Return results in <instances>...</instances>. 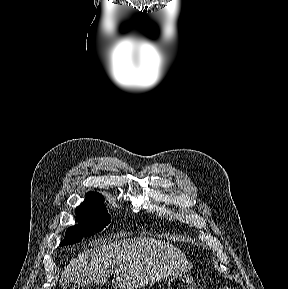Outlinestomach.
<instances>
[{
    "mask_svg": "<svg viewBox=\"0 0 288 289\" xmlns=\"http://www.w3.org/2000/svg\"><path fill=\"white\" fill-rule=\"evenodd\" d=\"M168 289H195L194 279L185 272L175 274L168 280Z\"/></svg>",
    "mask_w": 288,
    "mask_h": 289,
    "instance_id": "0dacf381",
    "label": "stomach"
}]
</instances>
